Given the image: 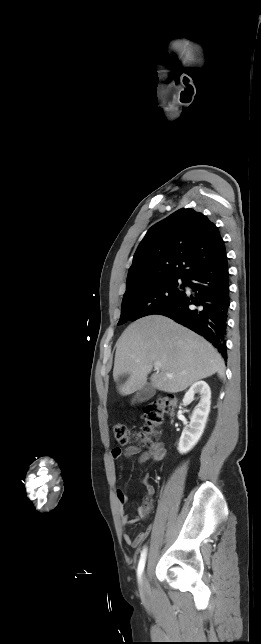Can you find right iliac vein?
Listing matches in <instances>:
<instances>
[{"mask_svg":"<svg viewBox=\"0 0 261 644\" xmlns=\"http://www.w3.org/2000/svg\"><path fill=\"white\" fill-rule=\"evenodd\" d=\"M140 594L142 598H147L149 595V586L145 575L142 577L140 583Z\"/></svg>","mask_w":261,"mask_h":644,"instance_id":"1","label":"right iliac vein"}]
</instances>
